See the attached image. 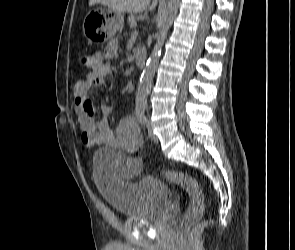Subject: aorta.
<instances>
[{"label": "aorta", "instance_id": "1", "mask_svg": "<svg viewBox=\"0 0 295 250\" xmlns=\"http://www.w3.org/2000/svg\"><path fill=\"white\" fill-rule=\"evenodd\" d=\"M179 3V0H169L165 13L161 17L160 29L157 33L156 44L154 45L150 57L147 60L146 67L143 70L140 83L136 92V105L138 107H144L146 105L148 92L150 90L153 77L157 69L161 49L166 39L168 30L173 22V19L177 14Z\"/></svg>", "mask_w": 295, "mask_h": 250}]
</instances>
